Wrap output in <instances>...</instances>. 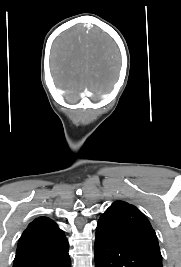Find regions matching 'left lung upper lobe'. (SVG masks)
<instances>
[{
    "label": "left lung upper lobe",
    "instance_id": "1",
    "mask_svg": "<svg viewBox=\"0 0 181 267\" xmlns=\"http://www.w3.org/2000/svg\"><path fill=\"white\" fill-rule=\"evenodd\" d=\"M97 230H105L162 259L157 236L145 215L134 205L114 202L101 215Z\"/></svg>",
    "mask_w": 181,
    "mask_h": 267
}]
</instances>
